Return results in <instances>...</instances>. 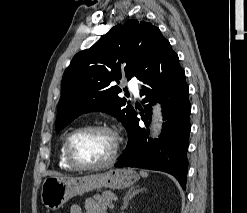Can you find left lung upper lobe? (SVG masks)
Wrapping results in <instances>:
<instances>
[{
	"mask_svg": "<svg viewBox=\"0 0 247 213\" xmlns=\"http://www.w3.org/2000/svg\"><path fill=\"white\" fill-rule=\"evenodd\" d=\"M174 51L160 30L150 23L128 20L114 26L91 48L77 53L62 78V95L57 107L56 131L79 115L90 111L107 112L126 128L134 114L121 89L112 86L124 72L128 80H142L155 64Z\"/></svg>",
	"mask_w": 247,
	"mask_h": 213,
	"instance_id": "1",
	"label": "left lung upper lobe"
}]
</instances>
